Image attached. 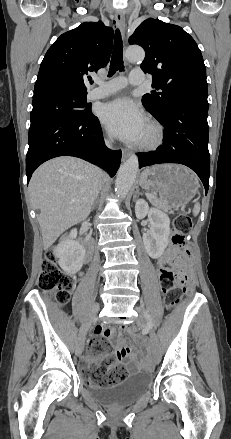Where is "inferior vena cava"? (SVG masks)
<instances>
[{
	"label": "inferior vena cava",
	"mask_w": 231,
	"mask_h": 439,
	"mask_svg": "<svg viewBox=\"0 0 231 439\" xmlns=\"http://www.w3.org/2000/svg\"><path fill=\"white\" fill-rule=\"evenodd\" d=\"M106 144L109 147L111 146V143L109 141H107ZM101 175H102L103 178H105V173H103L102 171H101Z\"/></svg>",
	"instance_id": "obj_1"
}]
</instances>
